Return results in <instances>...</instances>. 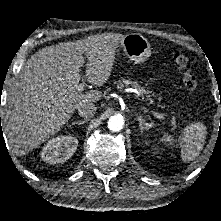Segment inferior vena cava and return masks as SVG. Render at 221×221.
<instances>
[{"label":"inferior vena cava","instance_id":"1","mask_svg":"<svg viewBox=\"0 0 221 221\" xmlns=\"http://www.w3.org/2000/svg\"><path fill=\"white\" fill-rule=\"evenodd\" d=\"M96 106L94 103L89 102L86 104H83L81 107L78 108V114L85 118L88 119L92 116H94V114L96 113Z\"/></svg>","mask_w":221,"mask_h":221}]
</instances>
